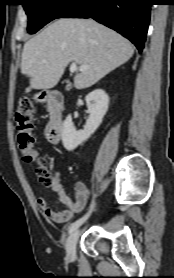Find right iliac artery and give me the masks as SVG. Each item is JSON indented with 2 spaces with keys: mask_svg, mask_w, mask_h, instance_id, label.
I'll use <instances>...</instances> for the list:
<instances>
[{
  "mask_svg": "<svg viewBox=\"0 0 174 278\" xmlns=\"http://www.w3.org/2000/svg\"><path fill=\"white\" fill-rule=\"evenodd\" d=\"M94 208V201L92 202L91 206H90V210L89 212L84 215L82 218L78 219L77 221L73 222L70 227H69V233H72L74 230H76L90 215L91 211Z\"/></svg>",
  "mask_w": 174,
  "mask_h": 278,
  "instance_id": "82829eb1",
  "label": "right iliac artery"
}]
</instances>
